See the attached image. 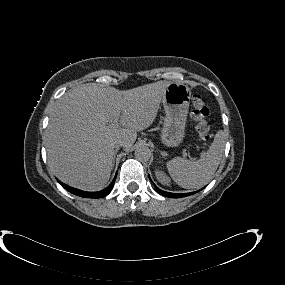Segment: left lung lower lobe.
<instances>
[{"mask_svg": "<svg viewBox=\"0 0 285 285\" xmlns=\"http://www.w3.org/2000/svg\"><path fill=\"white\" fill-rule=\"evenodd\" d=\"M149 179L151 180L150 177H149ZM156 191H157L160 195H163V196H166V197H170V198H182V197L189 196V195L192 194V193H184V194L169 193V192L162 191V190H160V189H158V188H157Z\"/></svg>", "mask_w": 285, "mask_h": 285, "instance_id": "0a47b994", "label": "left lung lower lobe"}]
</instances>
